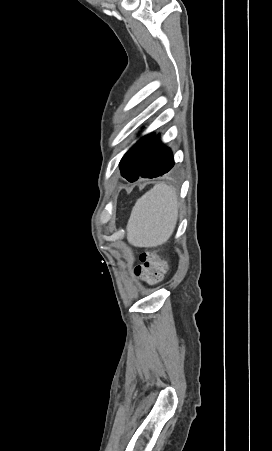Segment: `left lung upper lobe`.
<instances>
[{"label":"left lung upper lobe","mask_w":272,"mask_h":451,"mask_svg":"<svg viewBox=\"0 0 272 451\" xmlns=\"http://www.w3.org/2000/svg\"><path fill=\"white\" fill-rule=\"evenodd\" d=\"M155 134L142 137L121 159L120 170L124 178L138 176Z\"/></svg>","instance_id":"obj_1"}]
</instances>
